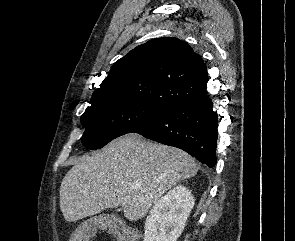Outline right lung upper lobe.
Instances as JSON below:
<instances>
[{
    "instance_id": "cb5924a9",
    "label": "right lung upper lobe",
    "mask_w": 295,
    "mask_h": 241,
    "mask_svg": "<svg viewBox=\"0 0 295 241\" xmlns=\"http://www.w3.org/2000/svg\"><path fill=\"white\" fill-rule=\"evenodd\" d=\"M208 75L202 58L182 40L156 38L115 62L93 94L117 96L166 109L206 93Z\"/></svg>"
}]
</instances>
